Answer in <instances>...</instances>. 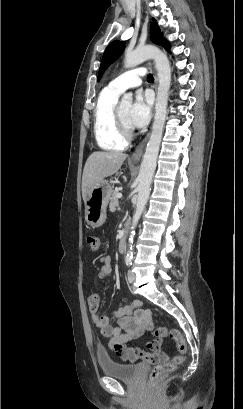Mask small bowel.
Instances as JSON below:
<instances>
[{"mask_svg": "<svg viewBox=\"0 0 243 409\" xmlns=\"http://www.w3.org/2000/svg\"><path fill=\"white\" fill-rule=\"evenodd\" d=\"M101 262L103 266L100 269L99 278L103 279L112 272V258L110 255H105L101 258ZM141 307L142 302L134 300L126 306L111 310L109 314H100L97 310L89 309L94 325L103 337L109 339V348L123 360L130 362L144 360L148 363L167 360V354L161 351V340L147 341L145 343L147 350L130 345L152 329V318L148 311ZM112 319L117 320L116 326L111 325Z\"/></svg>", "mask_w": 243, "mask_h": 409, "instance_id": "1", "label": "small bowel"}]
</instances>
